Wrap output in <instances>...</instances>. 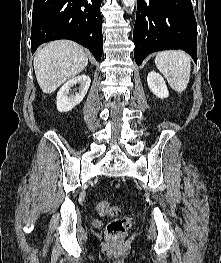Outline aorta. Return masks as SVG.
Here are the masks:
<instances>
[{
    "instance_id": "aorta-1",
    "label": "aorta",
    "mask_w": 221,
    "mask_h": 263,
    "mask_svg": "<svg viewBox=\"0 0 221 263\" xmlns=\"http://www.w3.org/2000/svg\"><path fill=\"white\" fill-rule=\"evenodd\" d=\"M136 1H137V0H122L124 6H125L126 8H132V9L134 8V6H135V4H136Z\"/></svg>"
}]
</instances>
